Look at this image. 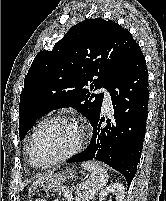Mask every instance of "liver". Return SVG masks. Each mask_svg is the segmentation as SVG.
<instances>
[{"label": "liver", "instance_id": "1", "mask_svg": "<svg viewBox=\"0 0 166 201\" xmlns=\"http://www.w3.org/2000/svg\"><path fill=\"white\" fill-rule=\"evenodd\" d=\"M52 172L46 173L44 176L38 178L34 183L33 186L36 188L38 185L42 184L45 180H48L52 176Z\"/></svg>", "mask_w": 166, "mask_h": 201}]
</instances>
